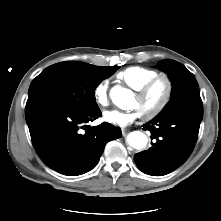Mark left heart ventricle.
Segmentation results:
<instances>
[{"label": "left heart ventricle", "instance_id": "obj_1", "mask_svg": "<svg viewBox=\"0 0 221 221\" xmlns=\"http://www.w3.org/2000/svg\"><path fill=\"white\" fill-rule=\"evenodd\" d=\"M164 93L165 84L163 82H160L149 92V94L145 98L139 99L135 95L132 102V107L137 109L140 114L150 112L160 104L163 99Z\"/></svg>", "mask_w": 221, "mask_h": 221}]
</instances>
